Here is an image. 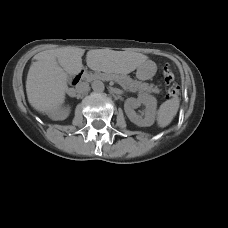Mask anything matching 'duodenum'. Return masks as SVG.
I'll use <instances>...</instances> for the list:
<instances>
[{
  "mask_svg": "<svg viewBox=\"0 0 228 228\" xmlns=\"http://www.w3.org/2000/svg\"><path fill=\"white\" fill-rule=\"evenodd\" d=\"M84 75H85V72H83V73H81V74L75 76V77L71 80V85H72V86L77 85V84L81 81V79L84 77Z\"/></svg>",
  "mask_w": 228,
  "mask_h": 228,
  "instance_id": "obj_1",
  "label": "duodenum"
}]
</instances>
